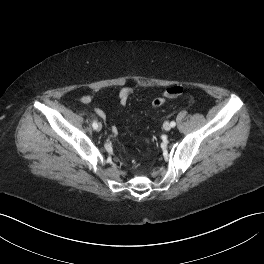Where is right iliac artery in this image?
I'll use <instances>...</instances> for the list:
<instances>
[{
    "instance_id": "obj_1",
    "label": "right iliac artery",
    "mask_w": 264,
    "mask_h": 264,
    "mask_svg": "<svg viewBox=\"0 0 264 264\" xmlns=\"http://www.w3.org/2000/svg\"><path fill=\"white\" fill-rule=\"evenodd\" d=\"M92 127H93L94 129H97L98 124L94 121L93 124H92Z\"/></svg>"
}]
</instances>
